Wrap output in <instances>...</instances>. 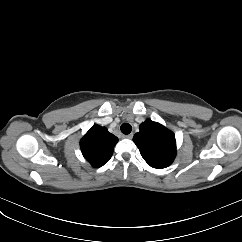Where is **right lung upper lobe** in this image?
<instances>
[{
    "instance_id": "1",
    "label": "right lung upper lobe",
    "mask_w": 242,
    "mask_h": 242,
    "mask_svg": "<svg viewBox=\"0 0 242 242\" xmlns=\"http://www.w3.org/2000/svg\"><path fill=\"white\" fill-rule=\"evenodd\" d=\"M118 138L105 127L94 125L81 139L84 158L95 168L103 166L112 156Z\"/></svg>"
}]
</instances>
